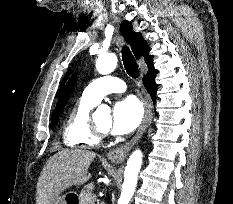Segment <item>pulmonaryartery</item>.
Segmentation results:
<instances>
[{
	"label": "pulmonary artery",
	"instance_id": "pulmonary-artery-1",
	"mask_svg": "<svg viewBox=\"0 0 233 204\" xmlns=\"http://www.w3.org/2000/svg\"><path fill=\"white\" fill-rule=\"evenodd\" d=\"M126 90V84L114 76H103L93 80L83 90V96L88 100L98 103L103 96L109 93H121Z\"/></svg>",
	"mask_w": 233,
	"mask_h": 204
}]
</instances>
